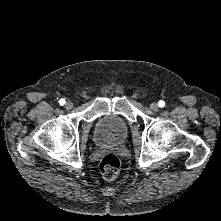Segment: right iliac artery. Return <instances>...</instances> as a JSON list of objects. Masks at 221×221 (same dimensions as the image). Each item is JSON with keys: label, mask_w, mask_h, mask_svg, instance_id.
<instances>
[{"label": "right iliac artery", "mask_w": 221, "mask_h": 221, "mask_svg": "<svg viewBox=\"0 0 221 221\" xmlns=\"http://www.w3.org/2000/svg\"><path fill=\"white\" fill-rule=\"evenodd\" d=\"M65 103H66V101H65L64 99H60V100H59V104H60V105H64Z\"/></svg>", "instance_id": "82829eb1"}]
</instances>
